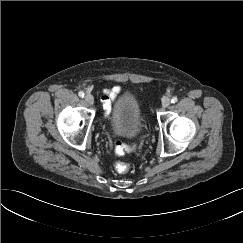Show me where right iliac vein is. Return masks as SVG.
Returning a JSON list of instances; mask_svg holds the SVG:
<instances>
[{
  "mask_svg": "<svg viewBox=\"0 0 243 243\" xmlns=\"http://www.w3.org/2000/svg\"><path fill=\"white\" fill-rule=\"evenodd\" d=\"M85 101L89 104L92 105L94 103V98L91 94H86L85 95Z\"/></svg>",
  "mask_w": 243,
  "mask_h": 243,
  "instance_id": "1",
  "label": "right iliac vein"
}]
</instances>
